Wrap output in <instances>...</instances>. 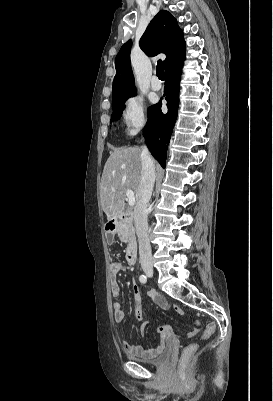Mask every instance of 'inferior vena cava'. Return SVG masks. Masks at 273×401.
Wrapping results in <instances>:
<instances>
[{
    "label": "inferior vena cava",
    "instance_id": "602c4592",
    "mask_svg": "<svg viewBox=\"0 0 273 401\" xmlns=\"http://www.w3.org/2000/svg\"><path fill=\"white\" fill-rule=\"evenodd\" d=\"M141 164V180L137 190L134 223L139 243L140 261H148L151 259L152 253L148 237L147 203L150 201L155 182V166L147 146H144L141 152Z\"/></svg>",
    "mask_w": 273,
    "mask_h": 401
}]
</instances>
